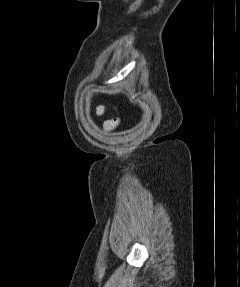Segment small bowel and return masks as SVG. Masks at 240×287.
Masks as SVG:
<instances>
[{
	"instance_id": "1",
	"label": "small bowel",
	"mask_w": 240,
	"mask_h": 287,
	"mask_svg": "<svg viewBox=\"0 0 240 287\" xmlns=\"http://www.w3.org/2000/svg\"><path fill=\"white\" fill-rule=\"evenodd\" d=\"M104 113H105V108H104L103 106H99V107L97 108V114H98L99 116H102V115H104Z\"/></svg>"
}]
</instances>
